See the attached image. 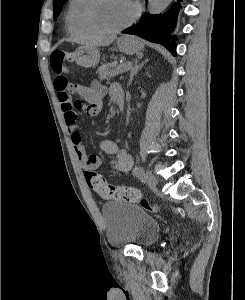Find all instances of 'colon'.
<instances>
[{
	"instance_id": "5ec220e1",
	"label": "colon",
	"mask_w": 245,
	"mask_h": 300,
	"mask_svg": "<svg viewBox=\"0 0 245 300\" xmlns=\"http://www.w3.org/2000/svg\"><path fill=\"white\" fill-rule=\"evenodd\" d=\"M70 58L68 54L62 51H54L50 58L51 68L56 74L63 76L68 70L66 62L70 60ZM75 106L80 109L83 104L80 101H76ZM86 181L88 186L103 198L121 200L129 203H140L148 210H159V207L143 197L141 191L137 188L109 184L105 178L98 173H89Z\"/></svg>"
}]
</instances>
